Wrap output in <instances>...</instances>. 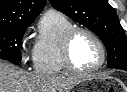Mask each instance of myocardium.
<instances>
[{"instance_id": "1", "label": "myocardium", "mask_w": 127, "mask_h": 92, "mask_svg": "<svg viewBox=\"0 0 127 92\" xmlns=\"http://www.w3.org/2000/svg\"><path fill=\"white\" fill-rule=\"evenodd\" d=\"M79 33H86L92 39L96 42V44L99 47L100 54H101V59L100 62L92 68L89 69H80L76 67L72 60L71 56V46L73 43L74 38L79 34ZM61 57L62 61L66 67L67 70L76 73V74H89L95 71H98L101 69L105 62H106V49L105 46L100 39V37L91 29L87 27H82V26H77V27H71L63 36L62 38V43H61Z\"/></svg>"}]
</instances>
